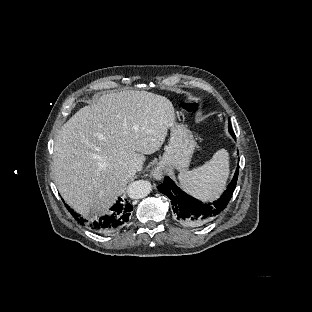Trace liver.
<instances>
[{"label": "liver", "mask_w": 312, "mask_h": 312, "mask_svg": "<svg viewBox=\"0 0 312 312\" xmlns=\"http://www.w3.org/2000/svg\"><path fill=\"white\" fill-rule=\"evenodd\" d=\"M175 122L166 97L126 90L77 111L54 142L52 175L66 203L84 218L105 213L133 177L129 167L159 150Z\"/></svg>", "instance_id": "liver-1"}]
</instances>
